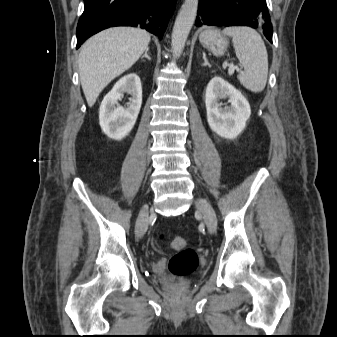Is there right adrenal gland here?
Here are the masks:
<instances>
[{"label": "right adrenal gland", "instance_id": "1", "mask_svg": "<svg viewBox=\"0 0 337 337\" xmlns=\"http://www.w3.org/2000/svg\"><path fill=\"white\" fill-rule=\"evenodd\" d=\"M148 50H149V49H146L144 55H143L141 58L146 57L148 60H151V57L148 55Z\"/></svg>", "mask_w": 337, "mask_h": 337}]
</instances>
